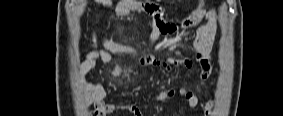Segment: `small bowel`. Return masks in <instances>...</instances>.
I'll return each instance as SVG.
<instances>
[{"label":"small bowel","instance_id":"obj_1","mask_svg":"<svg viewBox=\"0 0 283 116\" xmlns=\"http://www.w3.org/2000/svg\"><path fill=\"white\" fill-rule=\"evenodd\" d=\"M108 7H111L120 17L136 20L138 2L133 0H121L114 3L111 0L96 1ZM153 18L146 21V25L150 28V46L146 48H138L118 42H114L106 38L98 26L92 30V42L94 49L86 54L80 65V74L83 79L84 87L88 94V103L95 107V115H106L115 110L116 106L112 103H105V89L99 84L87 82L84 77L98 64H107L112 60V54L118 55H138L141 56L140 64L143 67H157L163 70L170 77L171 81L177 83L180 79L179 74L173 70L172 65H180L187 69L195 67V61L199 64L197 75L204 80L209 77L212 72V63L210 60V52L216 32V12L214 10L205 11L202 8L194 11L183 23V28L191 29L196 27V33L193 38L191 48L195 54V61L189 57L178 56L170 59H156L151 56H142L149 51L151 46H155L160 38L164 35H175V39H181L180 32L170 23L164 20V13L161 8L149 5L146 9ZM205 16L206 21L199 25L200 19ZM98 23V18H95ZM174 44H169V48H173ZM181 95L186 105L195 109L199 105L197 95L190 89L185 87L163 90L153 94L151 97L157 102H165L173 99L175 96ZM146 107L138 108L133 105L126 106V109L135 116H142ZM212 108L211 104L203 105V109L208 113Z\"/></svg>","mask_w":283,"mask_h":116}]
</instances>
